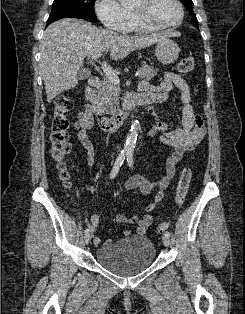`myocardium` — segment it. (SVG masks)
Wrapping results in <instances>:
<instances>
[{"mask_svg": "<svg viewBox=\"0 0 245 314\" xmlns=\"http://www.w3.org/2000/svg\"><path fill=\"white\" fill-rule=\"evenodd\" d=\"M144 2H148V0H143ZM179 10H180V18L178 21L174 22V23H158L153 21L151 18H149L145 13H143L142 11L136 9V8H131V11L133 13L134 19L137 23L151 28V29H167V28H173L176 27L177 25H179L180 23H182V21L184 20L185 17V11H184V6L182 4V2L180 0H175Z\"/></svg>", "mask_w": 245, "mask_h": 314, "instance_id": "1", "label": "myocardium"}]
</instances>
